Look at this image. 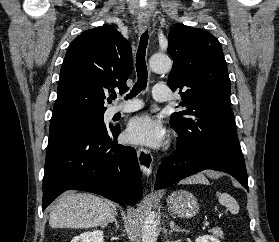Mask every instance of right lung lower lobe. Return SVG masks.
<instances>
[{"instance_id": "1", "label": "right lung lower lobe", "mask_w": 279, "mask_h": 242, "mask_svg": "<svg viewBox=\"0 0 279 242\" xmlns=\"http://www.w3.org/2000/svg\"><path fill=\"white\" fill-rule=\"evenodd\" d=\"M119 127L49 143L43 178L44 210L66 190L92 192L121 205L142 197L136 151L118 144Z\"/></svg>"}]
</instances>
